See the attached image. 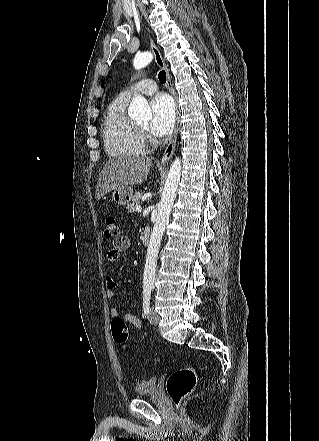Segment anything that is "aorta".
I'll use <instances>...</instances> for the list:
<instances>
[{
	"mask_svg": "<svg viewBox=\"0 0 319 441\" xmlns=\"http://www.w3.org/2000/svg\"><path fill=\"white\" fill-rule=\"evenodd\" d=\"M152 60V53L143 52L134 57L133 66L136 70H139L150 64ZM128 114L131 118L136 120L148 121L152 118L151 109L146 99L141 95H137L132 99ZM180 177L181 160L179 157H176L170 166L162 197L159 202L157 219L147 248L146 263L143 274L144 288L152 287L154 283L159 247L163 233L169 223L170 212L176 198V191Z\"/></svg>",
	"mask_w": 319,
	"mask_h": 441,
	"instance_id": "1",
	"label": "aorta"
}]
</instances>
